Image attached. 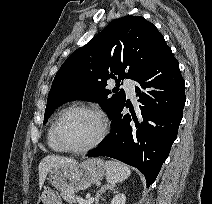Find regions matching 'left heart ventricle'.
Masks as SVG:
<instances>
[{"label":"left heart ventricle","mask_w":212,"mask_h":204,"mask_svg":"<svg viewBox=\"0 0 212 204\" xmlns=\"http://www.w3.org/2000/svg\"><path fill=\"white\" fill-rule=\"evenodd\" d=\"M99 129L98 119L84 111L70 112L60 123V135L63 141L74 148H80L92 142Z\"/></svg>","instance_id":"obj_1"}]
</instances>
